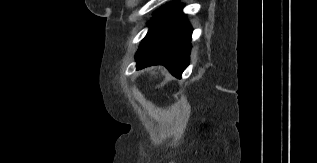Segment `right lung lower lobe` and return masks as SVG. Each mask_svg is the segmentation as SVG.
<instances>
[{
    "instance_id": "98d812e1",
    "label": "right lung lower lobe",
    "mask_w": 317,
    "mask_h": 163,
    "mask_svg": "<svg viewBox=\"0 0 317 163\" xmlns=\"http://www.w3.org/2000/svg\"><path fill=\"white\" fill-rule=\"evenodd\" d=\"M191 35L192 27L181 5H174L142 40L136 54L137 69L161 64L180 78L189 64Z\"/></svg>"
}]
</instances>
